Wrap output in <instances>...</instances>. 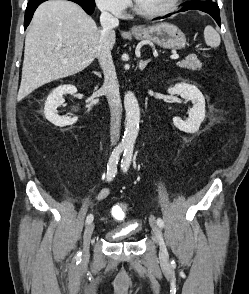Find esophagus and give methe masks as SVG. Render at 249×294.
Listing matches in <instances>:
<instances>
[{
  "label": "esophagus",
  "mask_w": 249,
  "mask_h": 294,
  "mask_svg": "<svg viewBox=\"0 0 249 294\" xmlns=\"http://www.w3.org/2000/svg\"><path fill=\"white\" fill-rule=\"evenodd\" d=\"M131 31H132V32H139V31H141V28H139V27H137V26H133V27L131 28Z\"/></svg>",
  "instance_id": "esophagus-1"
}]
</instances>
